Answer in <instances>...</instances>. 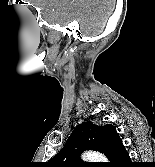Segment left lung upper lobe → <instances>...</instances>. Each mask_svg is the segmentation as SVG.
Segmentation results:
<instances>
[{"label":"left lung upper lobe","instance_id":"5c2ea615","mask_svg":"<svg viewBox=\"0 0 155 167\" xmlns=\"http://www.w3.org/2000/svg\"><path fill=\"white\" fill-rule=\"evenodd\" d=\"M121 142L115 126L84 122L72 131L64 147L48 161L47 167H91L90 163L80 160L79 155L83 151H99L111 160Z\"/></svg>","mask_w":155,"mask_h":167}]
</instances>
